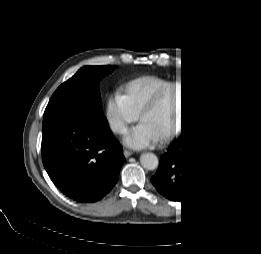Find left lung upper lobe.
I'll list each match as a JSON object with an SVG mask.
<instances>
[{
  "instance_id": "obj_1",
  "label": "left lung upper lobe",
  "mask_w": 261,
  "mask_h": 254,
  "mask_svg": "<svg viewBox=\"0 0 261 254\" xmlns=\"http://www.w3.org/2000/svg\"><path fill=\"white\" fill-rule=\"evenodd\" d=\"M187 134H188V129L185 132H183L180 137L188 136Z\"/></svg>"
}]
</instances>
